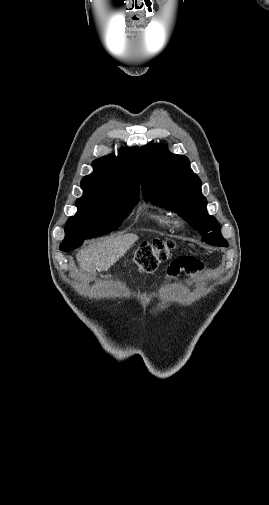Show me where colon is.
I'll use <instances>...</instances> for the list:
<instances>
[{"instance_id": "1", "label": "colon", "mask_w": 269, "mask_h": 505, "mask_svg": "<svg viewBox=\"0 0 269 505\" xmlns=\"http://www.w3.org/2000/svg\"><path fill=\"white\" fill-rule=\"evenodd\" d=\"M170 249L171 248L169 244L164 242L143 245L136 252L135 262L141 271L145 273H152L158 268V266L162 262L166 261L169 258ZM178 259H193V258L179 257L175 260Z\"/></svg>"}]
</instances>
